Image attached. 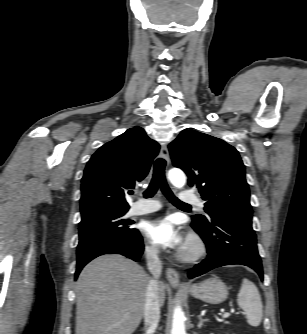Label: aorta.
Instances as JSON below:
<instances>
[{"label":"aorta","mask_w":307,"mask_h":334,"mask_svg":"<svg viewBox=\"0 0 307 334\" xmlns=\"http://www.w3.org/2000/svg\"><path fill=\"white\" fill-rule=\"evenodd\" d=\"M170 182L176 188H182L186 183V176L180 169H171L168 172ZM171 334H186L185 315L182 308L178 305L175 307L172 319Z\"/></svg>","instance_id":"762f6f07"}]
</instances>
